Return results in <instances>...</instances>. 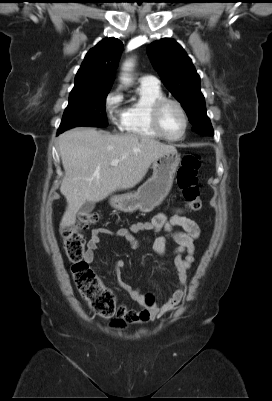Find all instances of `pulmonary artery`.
Returning a JSON list of instances; mask_svg holds the SVG:
<instances>
[{"label": "pulmonary artery", "mask_w": 272, "mask_h": 401, "mask_svg": "<svg viewBox=\"0 0 272 401\" xmlns=\"http://www.w3.org/2000/svg\"><path fill=\"white\" fill-rule=\"evenodd\" d=\"M140 83L141 85H147V86H158L159 85V80L151 75H145L140 78Z\"/></svg>", "instance_id": "e3ab8cb5"}]
</instances>
